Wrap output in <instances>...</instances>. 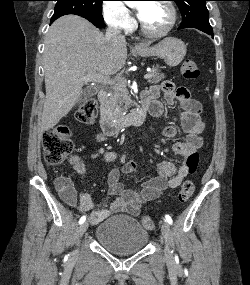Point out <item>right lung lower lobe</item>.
Listing matches in <instances>:
<instances>
[{
	"label": "right lung lower lobe",
	"mask_w": 250,
	"mask_h": 285,
	"mask_svg": "<svg viewBox=\"0 0 250 285\" xmlns=\"http://www.w3.org/2000/svg\"><path fill=\"white\" fill-rule=\"evenodd\" d=\"M89 20L93 25H95L97 28H103L105 27V24L104 22H97V21H94V20H91V19H87ZM53 21H51L52 23Z\"/></svg>",
	"instance_id": "1"
}]
</instances>
